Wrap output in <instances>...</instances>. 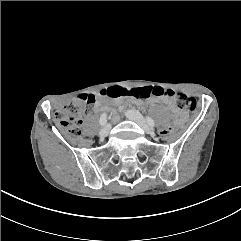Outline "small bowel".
Masks as SVG:
<instances>
[{
	"label": "small bowel",
	"instance_id": "1",
	"mask_svg": "<svg viewBox=\"0 0 241 241\" xmlns=\"http://www.w3.org/2000/svg\"><path fill=\"white\" fill-rule=\"evenodd\" d=\"M149 101H150V102H153V101H155V98H151ZM162 101H163V103H165V104L167 105V107H168L173 113H175V114L180 113L179 110H178V108L175 106V104H174L170 99H168V98H162Z\"/></svg>",
	"mask_w": 241,
	"mask_h": 241
}]
</instances>
